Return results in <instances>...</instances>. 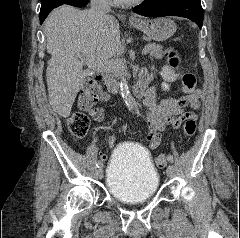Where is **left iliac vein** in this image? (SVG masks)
Segmentation results:
<instances>
[{"instance_id": "1", "label": "left iliac vein", "mask_w": 240, "mask_h": 238, "mask_svg": "<svg viewBox=\"0 0 240 238\" xmlns=\"http://www.w3.org/2000/svg\"><path fill=\"white\" fill-rule=\"evenodd\" d=\"M174 173V166L173 165H169L166 169V174L168 177H172Z\"/></svg>"}]
</instances>
